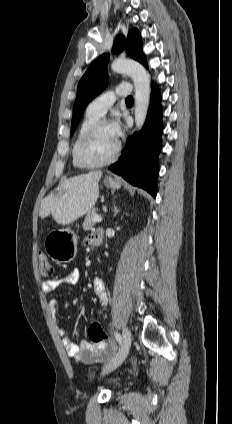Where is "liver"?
Returning a JSON list of instances; mask_svg holds the SVG:
<instances>
[{
	"label": "liver",
	"instance_id": "liver-1",
	"mask_svg": "<svg viewBox=\"0 0 232 424\" xmlns=\"http://www.w3.org/2000/svg\"><path fill=\"white\" fill-rule=\"evenodd\" d=\"M101 177V171H91L61 181L56 192L42 200L39 216L51 214L58 224L67 225L89 213L99 197Z\"/></svg>",
	"mask_w": 232,
	"mask_h": 424
}]
</instances>
